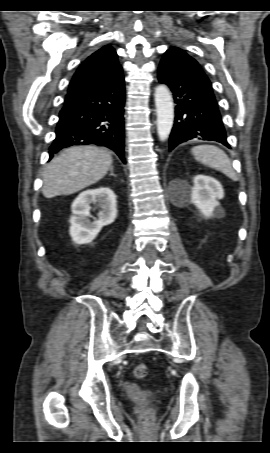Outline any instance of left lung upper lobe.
Wrapping results in <instances>:
<instances>
[{"mask_svg":"<svg viewBox=\"0 0 270 453\" xmlns=\"http://www.w3.org/2000/svg\"><path fill=\"white\" fill-rule=\"evenodd\" d=\"M171 54L184 55V56H187L188 58L192 59L193 61H195L187 53H185L183 50H181L180 48H177V47H172L169 50H167V52L165 53V55H171ZM195 62H197V61H195Z\"/></svg>","mask_w":270,"mask_h":453,"instance_id":"5c2ea615","label":"left lung upper lobe"}]
</instances>
